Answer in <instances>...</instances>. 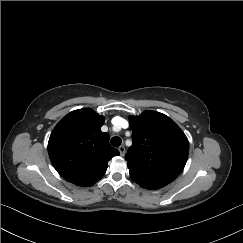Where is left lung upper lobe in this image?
I'll return each mask as SVG.
<instances>
[{
    "label": "left lung upper lobe",
    "mask_w": 243,
    "mask_h": 243,
    "mask_svg": "<svg viewBox=\"0 0 243 243\" xmlns=\"http://www.w3.org/2000/svg\"><path fill=\"white\" fill-rule=\"evenodd\" d=\"M132 146L125 159L130 176L143 188L153 189L172 182L188 159V139L165 114L145 111L129 117Z\"/></svg>",
    "instance_id": "left-lung-upper-lobe-1"
}]
</instances>
